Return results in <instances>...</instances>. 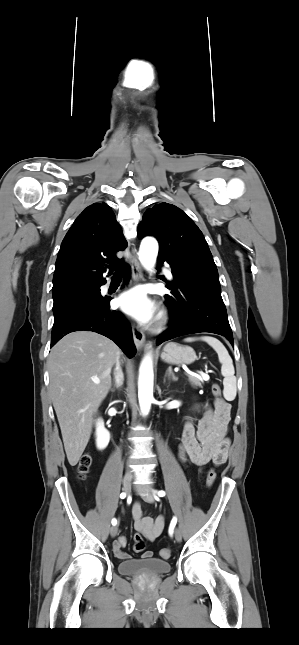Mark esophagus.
Listing matches in <instances>:
<instances>
[{"mask_svg": "<svg viewBox=\"0 0 299 645\" xmlns=\"http://www.w3.org/2000/svg\"><path fill=\"white\" fill-rule=\"evenodd\" d=\"M130 265H131L132 277L134 281L136 282L141 281L143 279L142 267L138 260L137 250L135 248L132 249ZM132 332H133L134 343L138 349L150 347V343L146 342L144 333L137 326L135 325L133 326Z\"/></svg>", "mask_w": 299, "mask_h": 645, "instance_id": "obj_1", "label": "esophagus"}]
</instances>
